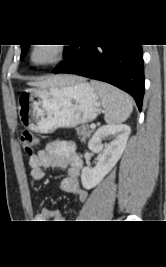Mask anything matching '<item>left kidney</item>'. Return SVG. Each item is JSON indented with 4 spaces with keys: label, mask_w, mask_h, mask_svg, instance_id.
I'll use <instances>...</instances> for the list:
<instances>
[{
    "label": "left kidney",
    "mask_w": 166,
    "mask_h": 267,
    "mask_svg": "<svg viewBox=\"0 0 166 267\" xmlns=\"http://www.w3.org/2000/svg\"><path fill=\"white\" fill-rule=\"evenodd\" d=\"M131 129L126 124L106 125L100 127L88 143V148L98 154L94 168L84 167L81 173L82 185L91 189L99 184L120 159L129 138ZM112 138L109 143H103Z\"/></svg>",
    "instance_id": "obj_1"
}]
</instances>
